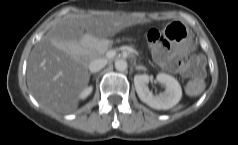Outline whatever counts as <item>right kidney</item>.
<instances>
[{
	"label": "right kidney",
	"mask_w": 238,
	"mask_h": 145,
	"mask_svg": "<svg viewBox=\"0 0 238 145\" xmlns=\"http://www.w3.org/2000/svg\"><path fill=\"white\" fill-rule=\"evenodd\" d=\"M93 87L89 86L84 88L79 94L80 99H86L92 93Z\"/></svg>",
	"instance_id": "right-kidney-1"
}]
</instances>
